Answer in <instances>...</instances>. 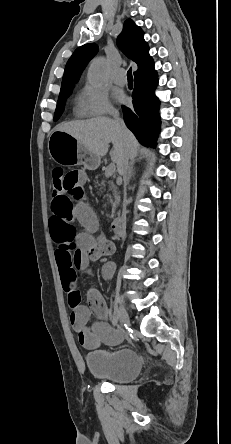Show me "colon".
Instances as JSON below:
<instances>
[{
	"label": "colon",
	"mask_w": 231,
	"mask_h": 444,
	"mask_svg": "<svg viewBox=\"0 0 231 444\" xmlns=\"http://www.w3.org/2000/svg\"><path fill=\"white\" fill-rule=\"evenodd\" d=\"M65 172L62 168L56 167L52 171V198L59 199L65 197L67 188L65 185Z\"/></svg>",
	"instance_id": "5ec220e1"
}]
</instances>
